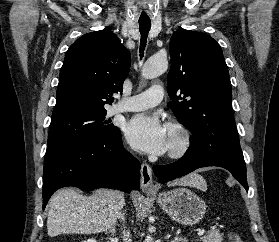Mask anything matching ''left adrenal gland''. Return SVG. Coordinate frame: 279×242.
Wrapping results in <instances>:
<instances>
[{
    "label": "left adrenal gland",
    "instance_id": "obj_1",
    "mask_svg": "<svg viewBox=\"0 0 279 242\" xmlns=\"http://www.w3.org/2000/svg\"><path fill=\"white\" fill-rule=\"evenodd\" d=\"M172 242H188L186 238L176 236Z\"/></svg>",
    "mask_w": 279,
    "mask_h": 242
}]
</instances>
